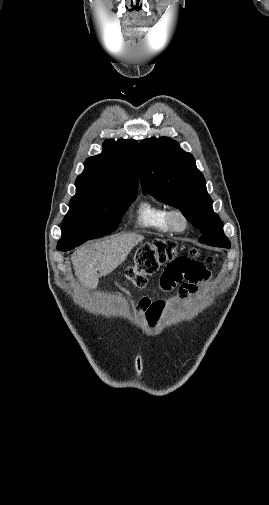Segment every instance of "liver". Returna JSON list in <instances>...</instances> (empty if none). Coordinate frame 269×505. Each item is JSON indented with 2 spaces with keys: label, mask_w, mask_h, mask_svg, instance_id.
I'll use <instances>...</instances> for the list:
<instances>
[{
  "label": "liver",
  "mask_w": 269,
  "mask_h": 505,
  "mask_svg": "<svg viewBox=\"0 0 269 505\" xmlns=\"http://www.w3.org/2000/svg\"><path fill=\"white\" fill-rule=\"evenodd\" d=\"M143 239L142 235L127 233L81 247L71 256L75 275L85 287L95 289L99 276L116 269Z\"/></svg>",
  "instance_id": "obj_1"
}]
</instances>
